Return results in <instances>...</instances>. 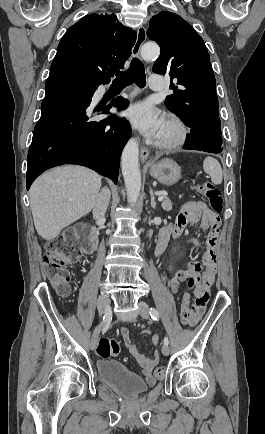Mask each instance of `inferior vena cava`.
I'll use <instances>...</instances> for the list:
<instances>
[{
  "mask_svg": "<svg viewBox=\"0 0 265 434\" xmlns=\"http://www.w3.org/2000/svg\"><path fill=\"white\" fill-rule=\"evenodd\" d=\"M110 202V190L108 188H103L100 194L96 198V202L93 206V218L98 220V222H105V212L108 208Z\"/></svg>",
  "mask_w": 265,
  "mask_h": 434,
  "instance_id": "obj_1",
  "label": "inferior vena cava"
}]
</instances>
